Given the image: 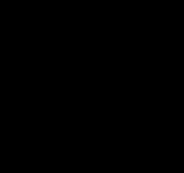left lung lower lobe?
<instances>
[{
	"instance_id": "obj_1",
	"label": "left lung lower lobe",
	"mask_w": 184,
	"mask_h": 173,
	"mask_svg": "<svg viewBox=\"0 0 184 173\" xmlns=\"http://www.w3.org/2000/svg\"><path fill=\"white\" fill-rule=\"evenodd\" d=\"M102 156L120 169L132 168L143 162L154 149L124 127L107 126L98 133Z\"/></svg>"
}]
</instances>
